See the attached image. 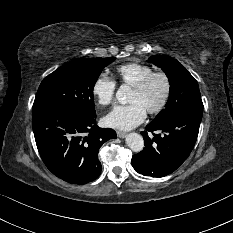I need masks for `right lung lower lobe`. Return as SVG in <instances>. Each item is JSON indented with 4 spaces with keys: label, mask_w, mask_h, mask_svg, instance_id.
Wrapping results in <instances>:
<instances>
[{
    "label": "right lung lower lobe",
    "mask_w": 233,
    "mask_h": 233,
    "mask_svg": "<svg viewBox=\"0 0 233 233\" xmlns=\"http://www.w3.org/2000/svg\"><path fill=\"white\" fill-rule=\"evenodd\" d=\"M95 118L96 114L66 109L32 110L39 154L55 176L72 184H86L99 177L102 170L99 148L117 135L113 129L99 128Z\"/></svg>",
    "instance_id": "obj_1"
}]
</instances>
